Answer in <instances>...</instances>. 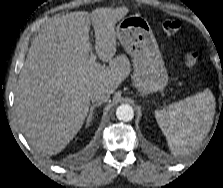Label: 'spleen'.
<instances>
[{"mask_svg": "<svg viewBox=\"0 0 223 188\" xmlns=\"http://www.w3.org/2000/svg\"><path fill=\"white\" fill-rule=\"evenodd\" d=\"M215 114L209 89L156 110L155 118L173 154L187 155L205 138Z\"/></svg>", "mask_w": 223, "mask_h": 188, "instance_id": "1", "label": "spleen"}]
</instances>
